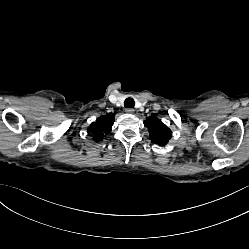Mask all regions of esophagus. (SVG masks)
I'll return each mask as SVG.
<instances>
[{
    "label": "esophagus",
    "mask_w": 249,
    "mask_h": 249,
    "mask_svg": "<svg viewBox=\"0 0 249 249\" xmlns=\"http://www.w3.org/2000/svg\"><path fill=\"white\" fill-rule=\"evenodd\" d=\"M125 111L129 114H133L134 113V109L132 108H126Z\"/></svg>",
    "instance_id": "obj_1"
}]
</instances>
